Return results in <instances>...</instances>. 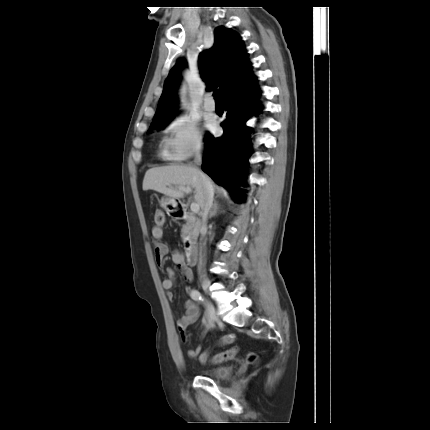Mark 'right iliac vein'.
I'll return each instance as SVG.
<instances>
[{"mask_svg":"<svg viewBox=\"0 0 430 430\" xmlns=\"http://www.w3.org/2000/svg\"><path fill=\"white\" fill-rule=\"evenodd\" d=\"M202 288L203 290L208 293L209 292V288H210V281L208 278H203L202 279ZM208 310L215 316V308L212 304L208 305Z\"/></svg>","mask_w":430,"mask_h":430,"instance_id":"right-iliac-vein-1","label":"right iliac vein"}]
</instances>
